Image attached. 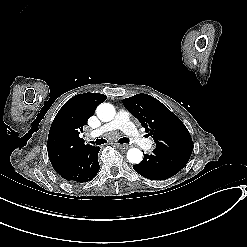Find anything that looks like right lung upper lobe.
<instances>
[{
	"label": "right lung upper lobe",
	"mask_w": 247,
	"mask_h": 247,
	"mask_svg": "<svg viewBox=\"0 0 247 247\" xmlns=\"http://www.w3.org/2000/svg\"><path fill=\"white\" fill-rule=\"evenodd\" d=\"M107 97L99 93L78 94L69 99L58 111L50 127L47 150L54 169L71 161L89 145L79 136L95 108Z\"/></svg>",
	"instance_id": "cb5924a9"
}]
</instances>
